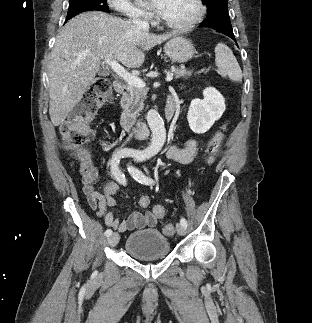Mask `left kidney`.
I'll return each mask as SVG.
<instances>
[{"instance_id": "obj_1", "label": "left kidney", "mask_w": 312, "mask_h": 323, "mask_svg": "<svg viewBox=\"0 0 312 323\" xmlns=\"http://www.w3.org/2000/svg\"><path fill=\"white\" fill-rule=\"evenodd\" d=\"M204 100H192L187 114L188 124L195 134H205L225 112V100L215 88L203 90Z\"/></svg>"}]
</instances>
